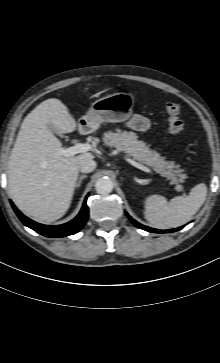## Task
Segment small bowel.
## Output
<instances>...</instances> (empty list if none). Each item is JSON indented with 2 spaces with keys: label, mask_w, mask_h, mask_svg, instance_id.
I'll return each mask as SVG.
<instances>
[{
  "label": "small bowel",
  "mask_w": 220,
  "mask_h": 363,
  "mask_svg": "<svg viewBox=\"0 0 220 363\" xmlns=\"http://www.w3.org/2000/svg\"><path fill=\"white\" fill-rule=\"evenodd\" d=\"M128 124L131 128L138 131H146L150 127L149 120L138 114L133 115Z\"/></svg>",
  "instance_id": "1"
}]
</instances>
